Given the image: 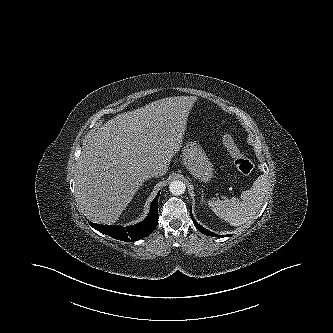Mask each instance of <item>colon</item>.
<instances>
[{
  "mask_svg": "<svg viewBox=\"0 0 333 333\" xmlns=\"http://www.w3.org/2000/svg\"><path fill=\"white\" fill-rule=\"evenodd\" d=\"M223 145L233 159L236 169L243 175H249L254 168L253 163L240 150L233 136L225 133L222 137Z\"/></svg>",
  "mask_w": 333,
  "mask_h": 333,
  "instance_id": "colon-1",
  "label": "colon"
}]
</instances>
